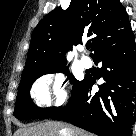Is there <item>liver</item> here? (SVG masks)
Listing matches in <instances>:
<instances>
[{
    "label": "liver",
    "mask_w": 136,
    "mask_h": 136,
    "mask_svg": "<svg viewBox=\"0 0 136 136\" xmlns=\"http://www.w3.org/2000/svg\"><path fill=\"white\" fill-rule=\"evenodd\" d=\"M14 136H91L78 128L59 122L47 121L17 130Z\"/></svg>",
    "instance_id": "obj_1"
}]
</instances>
